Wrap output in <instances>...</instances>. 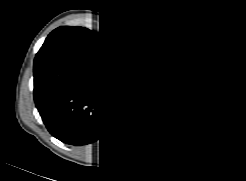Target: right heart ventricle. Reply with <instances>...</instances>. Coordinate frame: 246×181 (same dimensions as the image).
<instances>
[{
	"instance_id": "obj_1",
	"label": "right heart ventricle",
	"mask_w": 246,
	"mask_h": 181,
	"mask_svg": "<svg viewBox=\"0 0 246 181\" xmlns=\"http://www.w3.org/2000/svg\"><path fill=\"white\" fill-rule=\"evenodd\" d=\"M155 47V42L147 41L141 44L132 45L127 49L124 57L127 61H134L151 52Z\"/></svg>"
}]
</instances>
